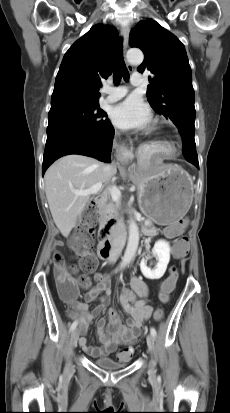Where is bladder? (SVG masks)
I'll return each mask as SVG.
<instances>
[{"label":"bladder","instance_id":"bladder-1","mask_svg":"<svg viewBox=\"0 0 230 413\" xmlns=\"http://www.w3.org/2000/svg\"><path fill=\"white\" fill-rule=\"evenodd\" d=\"M94 363L96 366L105 370H117L126 366L124 363H117L113 359L107 357L97 358Z\"/></svg>","mask_w":230,"mask_h":413}]
</instances>
